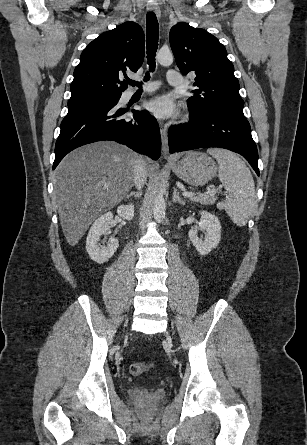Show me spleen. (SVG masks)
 Listing matches in <instances>:
<instances>
[{"instance_id":"spleen-1","label":"spleen","mask_w":307,"mask_h":445,"mask_svg":"<svg viewBox=\"0 0 307 445\" xmlns=\"http://www.w3.org/2000/svg\"><path fill=\"white\" fill-rule=\"evenodd\" d=\"M219 164L225 188L224 208L237 227H245L257 208L253 176L244 160L226 148H208Z\"/></svg>"}]
</instances>
